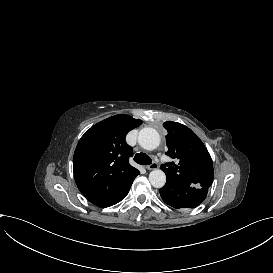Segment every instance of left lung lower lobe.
Instances as JSON below:
<instances>
[{
	"instance_id": "obj_1",
	"label": "left lung lower lobe",
	"mask_w": 273,
	"mask_h": 273,
	"mask_svg": "<svg viewBox=\"0 0 273 273\" xmlns=\"http://www.w3.org/2000/svg\"><path fill=\"white\" fill-rule=\"evenodd\" d=\"M208 188H199L167 179L165 186L160 189L163 201L176 208H195L205 198Z\"/></svg>"
}]
</instances>
